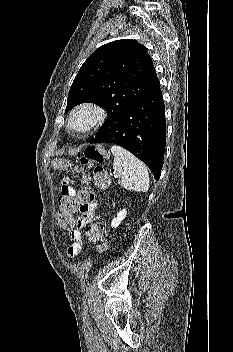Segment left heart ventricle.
Segmentation results:
<instances>
[{
    "label": "left heart ventricle",
    "mask_w": 233,
    "mask_h": 352,
    "mask_svg": "<svg viewBox=\"0 0 233 352\" xmlns=\"http://www.w3.org/2000/svg\"><path fill=\"white\" fill-rule=\"evenodd\" d=\"M90 119V114L81 113L75 119V125L78 127L83 126Z\"/></svg>",
    "instance_id": "1"
}]
</instances>
